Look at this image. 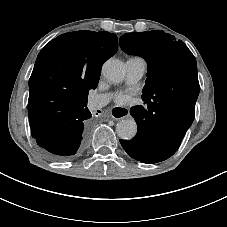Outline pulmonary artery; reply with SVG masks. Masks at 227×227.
<instances>
[{"instance_id": "obj_1", "label": "pulmonary artery", "mask_w": 227, "mask_h": 227, "mask_svg": "<svg viewBox=\"0 0 227 227\" xmlns=\"http://www.w3.org/2000/svg\"><path fill=\"white\" fill-rule=\"evenodd\" d=\"M126 81L129 84L135 83L145 73L146 63L140 58H129L126 61ZM113 97L111 93L98 94L90 98V109H100L107 105Z\"/></svg>"}]
</instances>
